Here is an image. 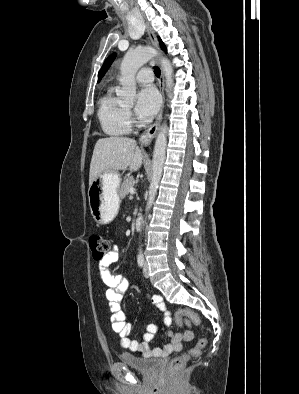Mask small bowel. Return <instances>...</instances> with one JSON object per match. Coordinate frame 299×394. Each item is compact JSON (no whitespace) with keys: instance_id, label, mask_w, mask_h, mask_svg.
Listing matches in <instances>:
<instances>
[{"instance_id":"1","label":"small bowel","mask_w":299,"mask_h":394,"mask_svg":"<svg viewBox=\"0 0 299 394\" xmlns=\"http://www.w3.org/2000/svg\"><path fill=\"white\" fill-rule=\"evenodd\" d=\"M119 257V246L118 244H112L111 248L104 259L98 264V272L104 284L107 286L106 298L109 302V309L112 313L111 324L113 330L120 336V345L123 348L129 349L134 352L140 353L142 356L150 357H163L171 352H177L182 349V344L185 341H191L193 339V332L191 330L177 331L168 333L171 341L170 343L162 346L150 349L148 343L153 340L154 334L158 330V326L155 324H148L145 328V333L140 341L132 340L129 335L132 330V325L126 321L127 317L124 312L120 309V301L122 300L125 292L128 290L131 280L122 276L114 275L110 272L109 266L117 261ZM163 314V322L165 325H170L171 315L167 310L166 303L162 296L153 295L147 296ZM181 323V321H178ZM189 326L190 323L186 321Z\"/></svg>"}]
</instances>
